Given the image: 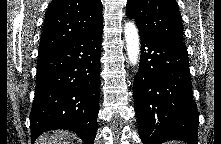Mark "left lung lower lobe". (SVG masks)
I'll use <instances>...</instances> for the list:
<instances>
[{"label":"left lung lower lobe","instance_id":"left-lung-lower-lobe-1","mask_svg":"<svg viewBox=\"0 0 221 144\" xmlns=\"http://www.w3.org/2000/svg\"><path fill=\"white\" fill-rule=\"evenodd\" d=\"M140 38L133 96L143 144L168 140L197 144L199 117L192 100L186 47L141 34Z\"/></svg>","mask_w":221,"mask_h":144}]
</instances>
